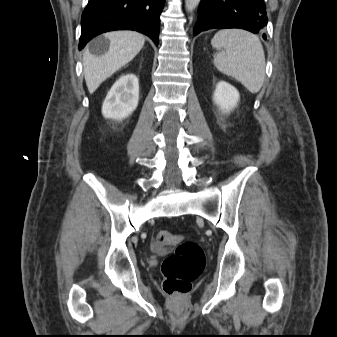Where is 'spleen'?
Wrapping results in <instances>:
<instances>
[{"label":"spleen","instance_id":"spleen-1","mask_svg":"<svg viewBox=\"0 0 337 337\" xmlns=\"http://www.w3.org/2000/svg\"><path fill=\"white\" fill-rule=\"evenodd\" d=\"M211 44L220 50L214 55L215 67L251 93H258L265 79V55L259 38L245 30L224 29L215 34Z\"/></svg>","mask_w":337,"mask_h":337}]
</instances>
